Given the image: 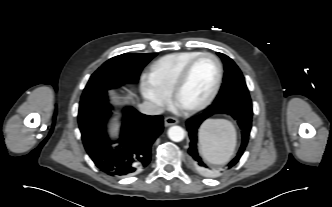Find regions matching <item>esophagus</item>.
Segmentation results:
<instances>
[{
  "label": "esophagus",
  "instance_id": "esophagus-1",
  "mask_svg": "<svg viewBox=\"0 0 332 207\" xmlns=\"http://www.w3.org/2000/svg\"><path fill=\"white\" fill-rule=\"evenodd\" d=\"M178 123V119H176L175 117H166L164 120V124L166 127L171 126V125H175Z\"/></svg>",
  "mask_w": 332,
  "mask_h": 207
}]
</instances>
